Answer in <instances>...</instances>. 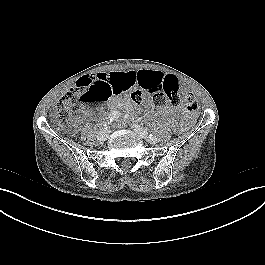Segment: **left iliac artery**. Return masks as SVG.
I'll return each instance as SVG.
<instances>
[{"instance_id": "left-iliac-artery-1", "label": "left iliac artery", "mask_w": 265, "mask_h": 265, "mask_svg": "<svg viewBox=\"0 0 265 265\" xmlns=\"http://www.w3.org/2000/svg\"><path fill=\"white\" fill-rule=\"evenodd\" d=\"M149 139L152 140V141H155V140L157 141L158 140V138L156 136L152 135V134L149 135Z\"/></svg>"}]
</instances>
